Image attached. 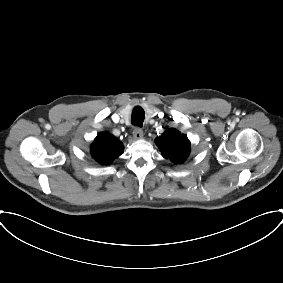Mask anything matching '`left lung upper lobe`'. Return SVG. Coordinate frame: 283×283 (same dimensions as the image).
<instances>
[{
	"label": "left lung upper lobe",
	"instance_id": "1",
	"mask_svg": "<svg viewBox=\"0 0 283 283\" xmlns=\"http://www.w3.org/2000/svg\"><path fill=\"white\" fill-rule=\"evenodd\" d=\"M155 142L164 158H169L176 164L183 162L189 154L190 142L187 136L176 129L165 131L162 136L156 138Z\"/></svg>",
	"mask_w": 283,
	"mask_h": 283
}]
</instances>
